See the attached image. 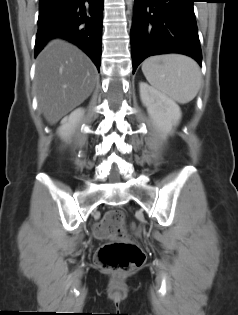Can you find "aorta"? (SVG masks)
I'll return each mask as SVG.
<instances>
[{
	"label": "aorta",
	"instance_id": "aorta-1",
	"mask_svg": "<svg viewBox=\"0 0 238 315\" xmlns=\"http://www.w3.org/2000/svg\"><path fill=\"white\" fill-rule=\"evenodd\" d=\"M128 4L130 5V7H133V0H128Z\"/></svg>",
	"mask_w": 238,
	"mask_h": 315
}]
</instances>
